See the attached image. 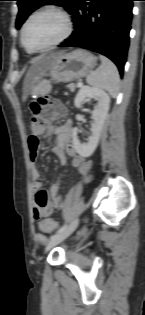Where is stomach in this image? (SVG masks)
Masks as SVG:
<instances>
[{
    "label": "stomach",
    "mask_w": 145,
    "mask_h": 315,
    "mask_svg": "<svg viewBox=\"0 0 145 315\" xmlns=\"http://www.w3.org/2000/svg\"><path fill=\"white\" fill-rule=\"evenodd\" d=\"M97 58L82 49L62 53L47 70V75L56 82H71L88 76L96 66Z\"/></svg>",
    "instance_id": "1"
}]
</instances>
